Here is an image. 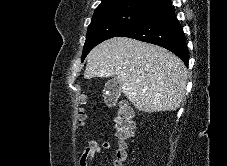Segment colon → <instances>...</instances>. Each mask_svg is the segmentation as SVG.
I'll return each instance as SVG.
<instances>
[{
	"instance_id": "5ec220e1",
	"label": "colon",
	"mask_w": 227,
	"mask_h": 166,
	"mask_svg": "<svg viewBox=\"0 0 227 166\" xmlns=\"http://www.w3.org/2000/svg\"><path fill=\"white\" fill-rule=\"evenodd\" d=\"M87 118L86 111L82 110L79 113V123L81 125L85 124ZM114 125L116 136L119 140V148L116 152L114 166H123L124 161L127 159V142L131 138L134 128L133 110L130 104L122 102L119 105L114 119Z\"/></svg>"
}]
</instances>
